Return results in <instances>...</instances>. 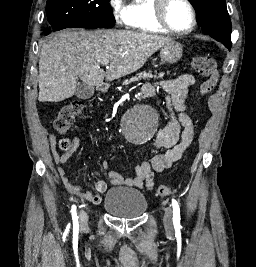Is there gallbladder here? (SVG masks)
<instances>
[{"instance_id":"obj_1","label":"gallbladder","mask_w":256,"mask_h":267,"mask_svg":"<svg viewBox=\"0 0 256 267\" xmlns=\"http://www.w3.org/2000/svg\"><path fill=\"white\" fill-rule=\"evenodd\" d=\"M94 94V86H88L85 82H79L76 86L75 96L81 98V100H87Z\"/></svg>"}]
</instances>
